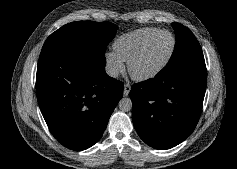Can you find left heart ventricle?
Instances as JSON below:
<instances>
[{
	"label": "left heart ventricle",
	"mask_w": 237,
	"mask_h": 169,
	"mask_svg": "<svg viewBox=\"0 0 237 169\" xmlns=\"http://www.w3.org/2000/svg\"><path fill=\"white\" fill-rule=\"evenodd\" d=\"M171 46L172 39L168 33L159 35L134 64V70L137 73H145L154 69L167 57Z\"/></svg>",
	"instance_id": "left-heart-ventricle-1"
}]
</instances>
